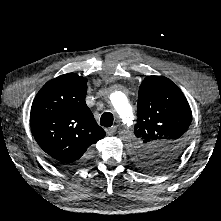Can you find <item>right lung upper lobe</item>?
Instances as JSON below:
<instances>
[{
  "label": "right lung upper lobe",
  "mask_w": 221,
  "mask_h": 221,
  "mask_svg": "<svg viewBox=\"0 0 221 221\" xmlns=\"http://www.w3.org/2000/svg\"><path fill=\"white\" fill-rule=\"evenodd\" d=\"M87 79L68 73L47 82L31 107L30 124L39 146L60 164L85 160L105 137L85 102Z\"/></svg>",
  "instance_id": "obj_1"
}]
</instances>
